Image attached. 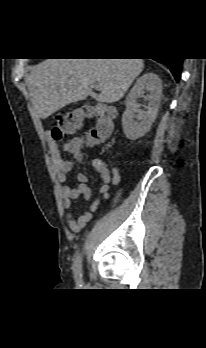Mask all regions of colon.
Listing matches in <instances>:
<instances>
[{"instance_id": "obj_1", "label": "colon", "mask_w": 206, "mask_h": 348, "mask_svg": "<svg viewBox=\"0 0 206 348\" xmlns=\"http://www.w3.org/2000/svg\"><path fill=\"white\" fill-rule=\"evenodd\" d=\"M115 111L108 105H85L65 112L57 113L51 130V137L60 141L64 136L79 129L86 120H92V128L80 138H74L69 144L73 153L82 152L85 147L106 140L114 127Z\"/></svg>"}]
</instances>
